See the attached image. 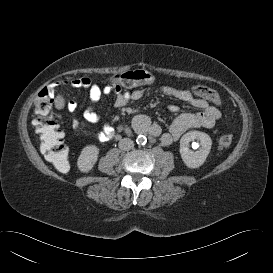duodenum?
<instances>
[{
    "mask_svg": "<svg viewBox=\"0 0 273 273\" xmlns=\"http://www.w3.org/2000/svg\"><path fill=\"white\" fill-rule=\"evenodd\" d=\"M114 134H115V132H112V131L110 132V136H113Z\"/></svg>",
    "mask_w": 273,
    "mask_h": 273,
    "instance_id": "duodenum-1",
    "label": "duodenum"
}]
</instances>
